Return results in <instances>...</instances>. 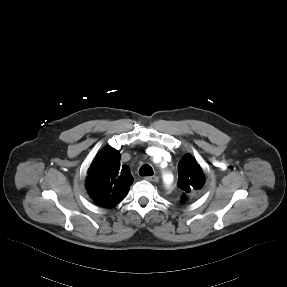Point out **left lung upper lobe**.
Returning <instances> with one entry per match:
<instances>
[{
  "label": "left lung upper lobe",
  "mask_w": 287,
  "mask_h": 287,
  "mask_svg": "<svg viewBox=\"0 0 287 287\" xmlns=\"http://www.w3.org/2000/svg\"><path fill=\"white\" fill-rule=\"evenodd\" d=\"M179 176L177 186L183 192V196L187 193L200 189L204 184V174L197 161L190 155L185 154L179 165Z\"/></svg>",
  "instance_id": "5c2ea615"
}]
</instances>
